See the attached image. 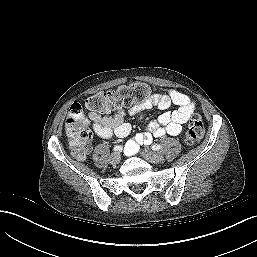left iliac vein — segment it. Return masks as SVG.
<instances>
[{
    "instance_id": "obj_1",
    "label": "left iliac vein",
    "mask_w": 257,
    "mask_h": 257,
    "mask_svg": "<svg viewBox=\"0 0 257 257\" xmlns=\"http://www.w3.org/2000/svg\"><path fill=\"white\" fill-rule=\"evenodd\" d=\"M141 154L146 160L153 163H159L164 160V156L160 153L143 151Z\"/></svg>"
}]
</instances>
